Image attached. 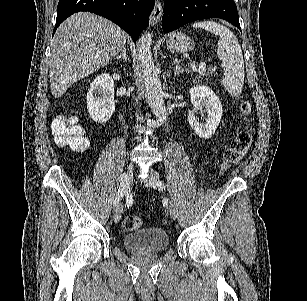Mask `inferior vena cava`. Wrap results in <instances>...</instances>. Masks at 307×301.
Instances as JSON below:
<instances>
[{
    "label": "inferior vena cava",
    "instance_id": "1",
    "mask_svg": "<svg viewBox=\"0 0 307 301\" xmlns=\"http://www.w3.org/2000/svg\"><path fill=\"white\" fill-rule=\"evenodd\" d=\"M135 116L137 120H142L143 116H141V112H135Z\"/></svg>",
    "mask_w": 307,
    "mask_h": 301
}]
</instances>
